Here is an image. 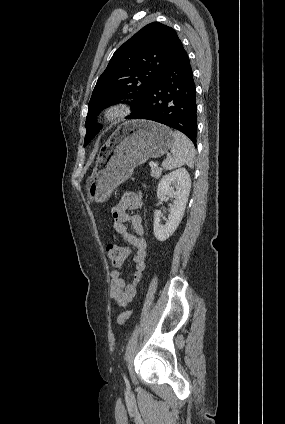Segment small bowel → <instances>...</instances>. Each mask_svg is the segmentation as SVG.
Listing matches in <instances>:
<instances>
[{
  "label": "small bowel",
  "mask_w": 285,
  "mask_h": 424,
  "mask_svg": "<svg viewBox=\"0 0 285 424\" xmlns=\"http://www.w3.org/2000/svg\"><path fill=\"white\" fill-rule=\"evenodd\" d=\"M143 198L139 191H127L112 211L113 228L117 234L135 250L133 262L135 270L131 283H127L120 270L111 271L110 295L121 306L129 304L137 294L138 284L145 270L147 243L145 227L139 213H133L142 207ZM126 258L130 254L128 248ZM125 258V259H126Z\"/></svg>",
  "instance_id": "small-bowel-1"
}]
</instances>
